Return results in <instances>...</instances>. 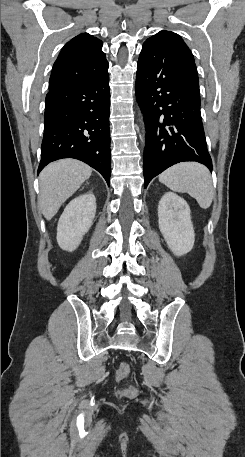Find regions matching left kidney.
I'll list each match as a JSON object with an SVG mask.
<instances>
[{
  "label": "left kidney",
  "mask_w": 245,
  "mask_h": 457,
  "mask_svg": "<svg viewBox=\"0 0 245 457\" xmlns=\"http://www.w3.org/2000/svg\"><path fill=\"white\" fill-rule=\"evenodd\" d=\"M191 210L184 198L165 192L158 204V222L169 249L176 257L190 253L195 241Z\"/></svg>",
  "instance_id": "obj_1"
}]
</instances>
